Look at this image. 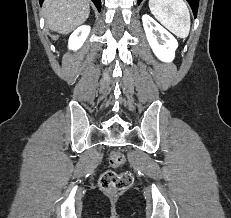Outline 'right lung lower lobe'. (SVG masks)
I'll return each instance as SVG.
<instances>
[{
	"instance_id": "98d812e1",
	"label": "right lung lower lobe",
	"mask_w": 231,
	"mask_h": 218,
	"mask_svg": "<svg viewBox=\"0 0 231 218\" xmlns=\"http://www.w3.org/2000/svg\"><path fill=\"white\" fill-rule=\"evenodd\" d=\"M39 1H40V4H42V2L44 0H39ZM92 1L94 2V4L97 7V9L100 11V9H101V0H92Z\"/></svg>"
}]
</instances>
